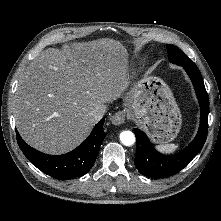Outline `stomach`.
I'll list each match as a JSON object with an SVG mask.
<instances>
[{
	"label": "stomach",
	"mask_w": 221,
	"mask_h": 221,
	"mask_svg": "<svg viewBox=\"0 0 221 221\" xmlns=\"http://www.w3.org/2000/svg\"><path fill=\"white\" fill-rule=\"evenodd\" d=\"M135 98L128 111L155 143L173 141L182 117L168 85L159 77L145 76L134 88Z\"/></svg>",
	"instance_id": "obj_1"
}]
</instances>
